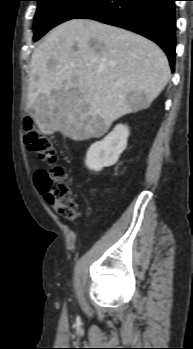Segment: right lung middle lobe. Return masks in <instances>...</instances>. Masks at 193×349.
<instances>
[{"label": "right lung middle lobe", "instance_id": "1", "mask_svg": "<svg viewBox=\"0 0 193 349\" xmlns=\"http://www.w3.org/2000/svg\"><path fill=\"white\" fill-rule=\"evenodd\" d=\"M36 1L38 2V8L34 18V41L54 26L75 18L97 0Z\"/></svg>", "mask_w": 193, "mask_h": 349}]
</instances>
